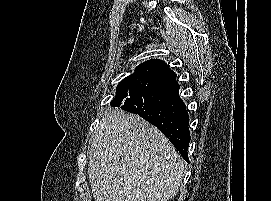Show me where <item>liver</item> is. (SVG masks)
Returning <instances> with one entry per match:
<instances>
[{
	"label": "liver",
	"instance_id": "1",
	"mask_svg": "<svg viewBox=\"0 0 271 201\" xmlns=\"http://www.w3.org/2000/svg\"><path fill=\"white\" fill-rule=\"evenodd\" d=\"M183 175L182 159L156 127L121 110L104 113L89 152L95 201H168Z\"/></svg>",
	"mask_w": 271,
	"mask_h": 201
}]
</instances>
